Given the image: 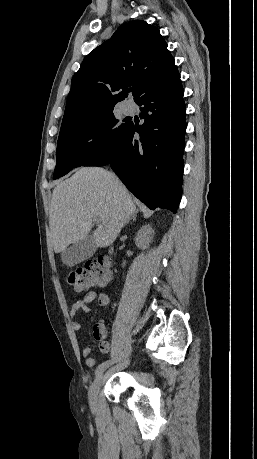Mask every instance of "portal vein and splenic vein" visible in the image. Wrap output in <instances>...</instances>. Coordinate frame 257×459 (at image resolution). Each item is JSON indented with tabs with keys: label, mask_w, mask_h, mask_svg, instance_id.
Wrapping results in <instances>:
<instances>
[{
	"label": "portal vein and splenic vein",
	"mask_w": 257,
	"mask_h": 459,
	"mask_svg": "<svg viewBox=\"0 0 257 459\" xmlns=\"http://www.w3.org/2000/svg\"><path fill=\"white\" fill-rule=\"evenodd\" d=\"M93 221L96 222V223H98L100 220H99L98 217H95V218H93Z\"/></svg>",
	"instance_id": "portal-vein-and-splenic-vein-1"
}]
</instances>
